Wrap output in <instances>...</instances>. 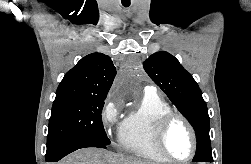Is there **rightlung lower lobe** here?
Here are the masks:
<instances>
[{
    "label": "right lung lower lobe",
    "mask_w": 251,
    "mask_h": 164,
    "mask_svg": "<svg viewBox=\"0 0 251 164\" xmlns=\"http://www.w3.org/2000/svg\"><path fill=\"white\" fill-rule=\"evenodd\" d=\"M86 147L107 148L97 141L90 139L65 137L47 144L46 162H57L69 153Z\"/></svg>",
    "instance_id": "right-lung-lower-lobe-1"
}]
</instances>
